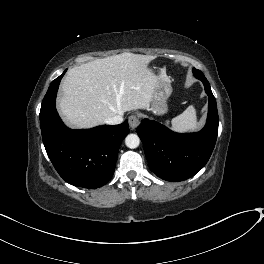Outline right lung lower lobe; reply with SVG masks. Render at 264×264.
Returning <instances> with one entry per match:
<instances>
[{
    "instance_id": "98d812e1",
    "label": "right lung lower lobe",
    "mask_w": 264,
    "mask_h": 264,
    "mask_svg": "<svg viewBox=\"0 0 264 264\" xmlns=\"http://www.w3.org/2000/svg\"><path fill=\"white\" fill-rule=\"evenodd\" d=\"M53 80L42 101L40 125L43 143L53 166L69 184L89 189L105 185L113 176L128 121L88 130H71L60 119L55 99L61 78Z\"/></svg>"
}]
</instances>
